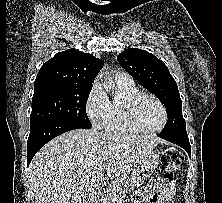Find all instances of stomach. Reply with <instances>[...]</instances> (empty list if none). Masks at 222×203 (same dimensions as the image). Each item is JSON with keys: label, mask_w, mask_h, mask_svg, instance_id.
I'll return each instance as SVG.
<instances>
[{"label": "stomach", "mask_w": 222, "mask_h": 203, "mask_svg": "<svg viewBox=\"0 0 222 203\" xmlns=\"http://www.w3.org/2000/svg\"><path fill=\"white\" fill-rule=\"evenodd\" d=\"M159 162V152H150L145 160L124 178L123 190L131 191L140 187L151 176Z\"/></svg>", "instance_id": "stomach-1"}]
</instances>
